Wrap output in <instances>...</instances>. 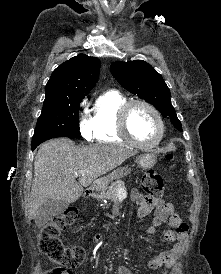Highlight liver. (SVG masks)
Instances as JSON below:
<instances>
[{"mask_svg":"<svg viewBox=\"0 0 221 274\" xmlns=\"http://www.w3.org/2000/svg\"><path fill=\"white\" fill-rule=\"evenodd\" d=\"M135 154L133 150L111 145L80 147L62 138L45 142L35 156L29 219L37 216L39 208L47 200L75 202L82 195L83 187L96 182L98 177ZM81 170L84 174L79 175L77 182Z\"/></svg>","mask_w":221,"mask_h":274,"instance_id":"1","label":"liver"}]
</instances>
